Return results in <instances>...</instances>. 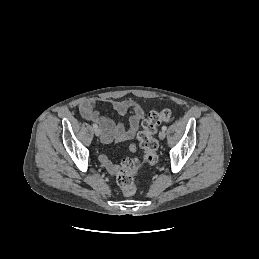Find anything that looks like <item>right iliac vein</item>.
I'll list each match as a JSON object with an SVG mask.
<instances>
[{"mask_svg":"<svg viewBox=\"0 0 259 259\" xmlns=\"http://www.w3.org/2000/svg\"><path fill=\"white\" fill-rule=\"evenodd\" d=\"M94 133L96 136H99L101 134V130L99 128L94 129Z\"/></svg>","mask_w":259,"mask_h":259,"instance_id":"1","label":"right iliac vein"}]
</instances>
